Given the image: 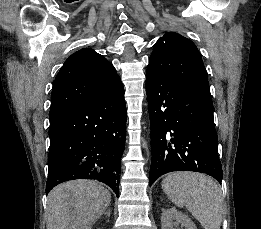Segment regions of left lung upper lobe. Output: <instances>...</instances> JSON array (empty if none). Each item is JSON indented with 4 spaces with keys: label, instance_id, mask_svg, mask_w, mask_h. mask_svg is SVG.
I'll return each mask as SVG.
<instances>
[{
    "label": "left lung upper lobe",
    "instance_id": "obj_1",
    "mask_svg": "<svg viewBox=\"0 0 261 229\" xmlns=\"http://www.w3.org/2000/svg\"><path fill=\"white\" fill-rule=\"evenodd\" d=\"M147 70L166 77L208 85V75L195 44L174 32L158 39Z\"/></svg>",
    "mask_w": 261,
    "mask_h": 229
}]
</instances>
